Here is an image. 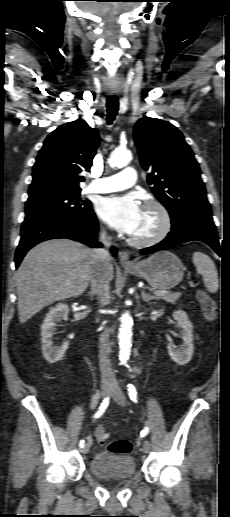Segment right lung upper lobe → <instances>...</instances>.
I'll return each instance as SVG.
<instances>
[{
  "label": "right lung upper lobe",
  "instance_id": "obj_1",
  "mask_svg": "<svg viewBox=\"0 0 230 517\" xmlns=\"http://www.w3.org/2000/svg\"><path fill=\"white\" fill-rule=\"evenodd\" d=\"M97 130L76 120L59 126L43 143L33 166L27 201L81 190L80 173L89 170L99 145Z\"/></svg>",
  "mask_w": 230,
  "mask_h": 517
}]
</instances>
